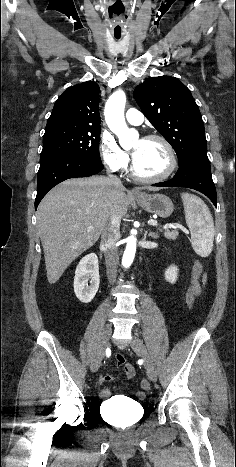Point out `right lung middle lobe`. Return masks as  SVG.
<instances>
[{"mask_svg":"<svg viewBox=\"0 0 236 467\" xmlns=\"http://www.w3.org/2000/svg\"><path fill=\"white\" fill-rule=\"evenodd\" d=\"M101 128L58 125L45 129L40 159L68 154L101 163L99 140Z\"/></svg>","mask_w":236,"mask_h":467,"instance_id":"1","label":"right lung middle lobe"}]
</instances>
